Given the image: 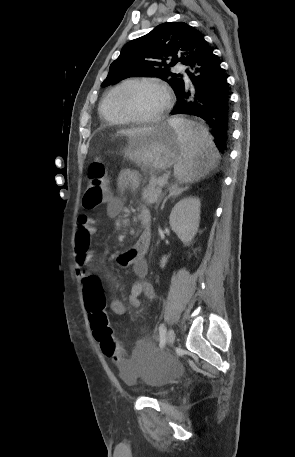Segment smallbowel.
<instances>
[{
    "label": "small bowel",
    "mask_w": 295,
    "mask_h": 457,
    "mask_svg": "<svg viewBox=\"0 0 295 457\" xmlns=\"http://www.w3.org/2000/svg\"><path fill=\"white\" fill-rule=\"evenodd\" d=\"M139 185L140 180L136 172L125 169L119 173L117 186L120 190L135 191L138 189ZM122 209V200L117 197H110L106 206V216L108 218H117ZM137 210L139 221L142 226V233L133 247L123 251L116 258V262L119 266H130L138 278V280L133 284L128 298L129 305L133 308L140 306V296L142 294L152 301L157 299L154 288L148 281L145 280L148 272L145 254L151 242V215L145 206H139ZM77 225L78 230L75 238L76 261L74 269L77 278L84 286L86 279L95 276L87 270V267L93 256V252L91 250V240L96 234L97 229L93 219L85 214L78 216ZM110 308L112 312L117 315H125L127 313L126 305L118 299H113L110 302ZM115 341L118 342L117 340ZM121 350L124 351L122 345Z\"/></svg>",
    "instance_id": "obj_1"
}]
</instances>
